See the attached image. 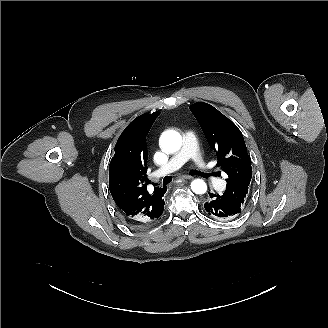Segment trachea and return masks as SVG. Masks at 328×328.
Masks as SVG:
<instances>
[{"label": "trachea", "mask_w": 328, "mask_h": 328, "mask_svg": "<svg viewBox=\"0 0 328 328\" xmlns=\"http://www.w3.org/2000/svg\"><path fill=\"white\" fill-rule=\"evenodd\" d=\"M202 173L200 172H191V175H201ZM172 181V178L170 176L164 177L162 184L164 186L168 185Z\"/></svg>", "instance_id": "trachea-1"}]
</instances>
